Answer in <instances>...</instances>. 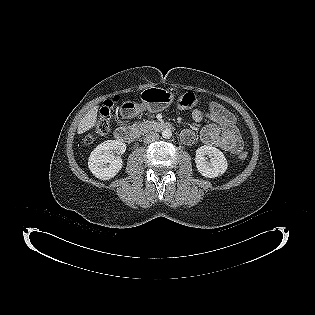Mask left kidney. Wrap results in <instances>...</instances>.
<instances>
[{
  "mask_svg": "<svg viewBox=\"0 0 315 315\" xmlns=\"http://www.w3.org/2000/svg\"><path fill=\"white\" fill-rule=\"evenodd\" d=\"M206 155L210 158L209 160L205 157ZM195 163L199 173L206 178H216L224 174L228 167L223 152L207 145L196 150Z\"/></svg>",
  "mask_w": 315,
  "mask_h": 315,
  "instance_id": "1",
  "label": "left kidney"
}]
</instances>
